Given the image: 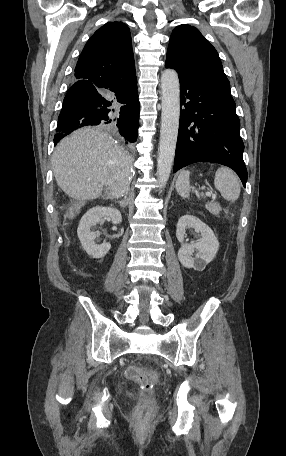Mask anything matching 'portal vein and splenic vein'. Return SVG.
Masks as SVG:
<instances>
[{
  "instance_id": "portal-vein-and-splenic-vein-1",
  "label": "portal vein and splenic vein",
  "mask_w": 286,
  "mask_h": 456,
  "mask_svg": "<svg viewBox=\"0 0 286 456\" xmlns=\"http://www.w3.org/2000/svg\"><path fill=\"white\" fill-rule=\"evenodd\" d=\"M206 196L212 197L213 199L216 198V194H213L212 192H206Z\"/></svg>"
}]
</instances>
